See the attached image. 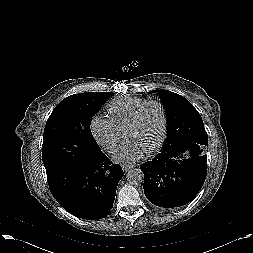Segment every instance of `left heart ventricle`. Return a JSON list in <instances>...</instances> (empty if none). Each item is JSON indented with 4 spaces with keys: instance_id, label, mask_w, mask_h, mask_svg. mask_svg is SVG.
Listing matches in <instances>:
<instances>
[{
    "instance_id": "left-heart-ventricle-1",
    "label": "left heart ventricle",
    "mask_w": 253,
    "mask_h": 253,
    "mask_svg": "<svg viewBox=\"0 0 253 253\" xmlns=\"http://www.w3.org/2000/svg\"><path fill=\"white\" fill-rule=\"evenodd\" d=\"M162 127V113L158 106L151 105L142 113L137 124L125 133L128 139L148 150L158 139Z\"/></svg>"
}]
</instances>
